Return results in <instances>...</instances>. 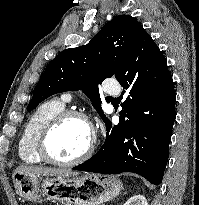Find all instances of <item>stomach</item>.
Wrapping results in <instances>:
<instances>
[{
  "mask_svg": "<svg viewBox=\"0 0 199 205\" xmlns=\"http://www.w3.org/2000/svg\"><path fill=\"white\" fill-rule=\"evenodd\" d=\"M13 182L19 196L28 201H58L63 205H100L118 196L122 190L116 177L91 173L43 178L16 172Z\"/></svg>",
  "mask_w": 199,
  "mask_h": 205,
  "instance_id": "0dacf381",
  "label": "stomach"
}]
</instances>
